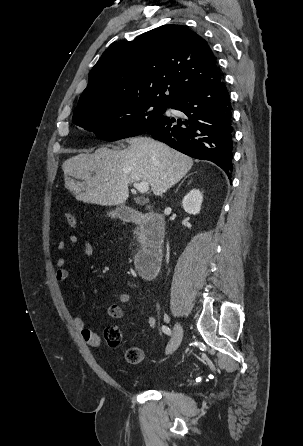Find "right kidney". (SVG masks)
Segmentation results:
<instances>
[{"label": "right kidney", "mask_w": 303, "mask_h": 446, "mask_svg": "<svg viewBox=\"0 0 303 446\" xmlns=\"http://www.w3.org/2000/svg\"><path fill=\"white\" fill-rule=\"evenodd\" d=\"M202 201V193L197 189H193L183 198L182 206L185 212L196 215L201 210Z\"/></svg>", "instance_id": "obj_1"}]
</instances>
